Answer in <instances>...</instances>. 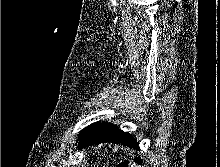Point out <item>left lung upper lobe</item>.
Listing matches in <instances>:
<instances>
[{
  "label": "left lung upper lobe",
  "instance_id": "5c2ea615",
  "mask_svg": "<svg viewBox=\"0 0 220 167\" xmlns=\"http://www.w3.org/2000/svg\"><path fill=\"white\" fill-rule=\"evenodd\" d=\"M86 131H87V129H84V130L81 132V134L79 135L78 140L83 136V134H84Z\"/></svg>",
  "mask_w": 220,
  "mask_h": 167
}]
</instances>
